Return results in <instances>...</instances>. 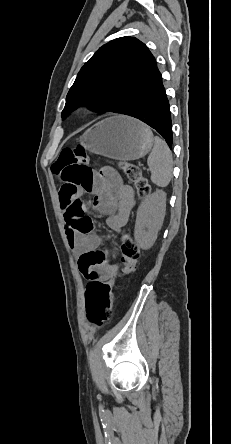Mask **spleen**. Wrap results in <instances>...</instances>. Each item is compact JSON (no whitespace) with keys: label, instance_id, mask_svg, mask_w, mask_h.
<instances>
[{"label":"spleen","instance_id":"spleen-1","mask_svg":"<svg viewBox=\"0 0 231 444\" xmlns=\"http://www.w3.org/2000/svg\"><path fill=\"white\" fill-rule=\"evenodd\" d=\"M147 164L151 172V181L158 187H166L172 177V153L166 142L154 137V147L148 156Z\"/></svg>","mask_w":231,"mask_h":444}]
</instances>
